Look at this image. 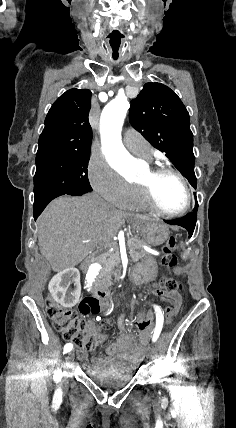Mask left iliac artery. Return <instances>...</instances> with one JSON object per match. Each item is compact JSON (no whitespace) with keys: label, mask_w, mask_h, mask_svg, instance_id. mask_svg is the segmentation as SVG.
I'll list each match as a JSON object with an SVG mask.
<instances>
[{"label":"left iliac artery","mask_w":236,"mask_h":428,"mask_svg":"<svg viewBox=\"0 0 236 428\" xmlns=\"http://www.w3.org/2000/svg\"><path fill=\"white\" fill-rule=\"evenodd\" d=\"M154 307H155V313H156V326L154 329L152 341L156 342V340L158 339V337L161 333L162 327H163V321H164L163 314H164V312L161 311L159 306H154Z\"/></svg>","instance_id":"1"}]
</instances>
